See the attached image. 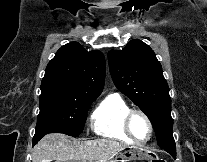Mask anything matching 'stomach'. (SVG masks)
<instances>
[{"instance_id": "obj_1", "label": "stomach", "mask_w": 207, "mask_h": 162, "mask_svg": "<svg viewBox=\"0 0 207 162\" xmlns=\"http://www.w3.org/2000/svg\"><path fill=\"white\" fill-rule=\"evenodd\" d=\"M133 160H159L151 152L142 148L126 147L109 162H130ZM72 162V161H71Z\"/></svg>"}]
</instances>
